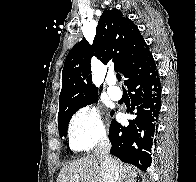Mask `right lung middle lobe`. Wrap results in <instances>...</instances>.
I'll list each match as a JSON object with an SVG mask.
<instances>
[{
  "instance_id": "1",
  "label": "right lung middle lobe",
  "mask_w": 196,
  "mask_h": 182,
  "mask_svg": "<svg viewBox=\"0 0 196 182\" xmlns=\"http://www.w3.org/2000/svg\"><path fill=\"white\" fill-rule=\"evenodd\" d=\"M97 101V97L94 99H91L85 103H83L80 106H77L75 108H72L71 110L67 111L66 113L58 116V128H59V135L60 137L64 136L66 137L67 135V127H68V123L69 120L71 119L72 115L80 108L85 107L86 105H89L93 102ZM113 114V112H111V115Z\"/></svg>"
}]
</instances>
